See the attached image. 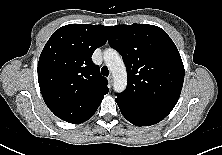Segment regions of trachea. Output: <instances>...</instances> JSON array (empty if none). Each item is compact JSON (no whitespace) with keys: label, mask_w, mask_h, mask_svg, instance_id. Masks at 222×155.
I'll use <instances>...</instances> for the list:
<instances>
[{"label":"trachea","mask_w":222,"mask_h":155,"mask_svg":"<svg viewBox=\"0 0 222 155\" xmlns=\"http://www.w3.org/2000/svg\"><path fill=\"white\" fill-rule=\"evenodd\" d=\"M101 73H102V75H104V76H108V75H109V70H108V68L105 67V66L102 67Z\"/></svg>","instance_id":"trachea-1"}]
</instances>
